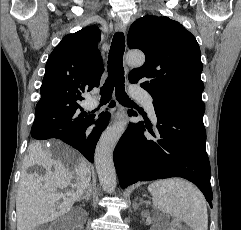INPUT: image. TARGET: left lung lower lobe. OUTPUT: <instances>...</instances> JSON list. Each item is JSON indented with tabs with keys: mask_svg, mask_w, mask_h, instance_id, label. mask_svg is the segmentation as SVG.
<instances>
[{
	"mask_svg": "<svg viewBox=\"0 0 241 230\" xmlns=\"http://www.w3.org/2000/svg\"><path fill=\"white\" fill-rule=\"evenodd\" d=\"M152 125L131 123L114 150V165L122 188L138 181L182 177L193 182L212 207L210 163L206 153L203 115L153 101ZM130 115H136L133 110ZM145 128L153 137L144 134Z\"/></svg>",
	"mask_w": 241,
	"mask_h": 230,
	"instance_id": "left-lung-lower-lobe-1",
	"label": "left lung lower lobe"
}]
</instances>
